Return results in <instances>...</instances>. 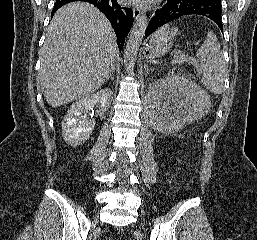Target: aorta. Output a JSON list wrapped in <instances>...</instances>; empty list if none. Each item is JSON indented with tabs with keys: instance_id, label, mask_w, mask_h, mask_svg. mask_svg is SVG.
<instances>
[{
	"instance_id": "762f6f07",
	"label": "aorta",
	"mask_w": 257,
	"mask_h": 240,
	"mask_svg": "<svg viewBox=\"0 0 257 240\" xmlns=\"http://www.w3.org/2000/svg\"><path fill=\"white\" fill-rule=\"evenodd\" d=\"M148 25V18L145 14L138 17L133 25L130 36L124 52V64L126 71L132 73L134 70L139 47L145 34Z\"/></svg>"
}]
</instances>
